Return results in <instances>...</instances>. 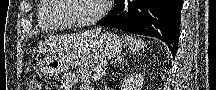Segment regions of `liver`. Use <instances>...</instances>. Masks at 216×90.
Returning a JSON list of instances; mask_svg holds the SVG:
<instances>
[{"label":"liver","mask_w":216,"mask_h":90,"mask_svg":"<svg viewBox=\"0 0 216 90\" xmlns=\"http://www.w3.org/2000/svg\"><path fill=\"white\" fill-rule=\"evenodd\" d=\"M101 30V28H100ZM100 30H94V32H90V36L91 34H99ZM89 34H79V36H73L71 42H73L74 46H76V44H81V42H85L86 38H88Z\"/></svg>","instance_id":"1"}]
</instances>
